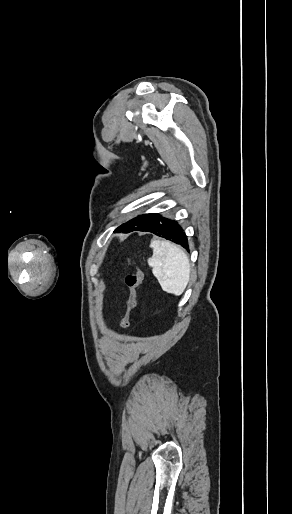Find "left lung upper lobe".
<instances>
[{"instance_id": "left-lung-upper-lobe-1", "label": "left lung upper lobe", "mask_w": 292, "mask_h": 514, "mask_svg": "<svg viewBox=\"0 0 292 514\" xmlns=\"http://www.w3.org/2000/svg\"><path fill=\"white\" fill-rule=\"evenodd\" d=\"M159 217V214H143L131 219L118 227L115 232L129 233L135 230L144 231L149 228Z\"/></svg>"}]
</instances>
